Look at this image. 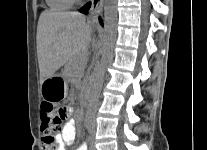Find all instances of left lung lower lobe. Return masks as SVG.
I'll return each mask as SVG.
<instances>
[{"instance_id": "0a47b994", "label": "left lung lower lobe", "mask_w": 207, "mask_h": 150, "mask_svg": "<svg viewBox=\"0 0 207 150\" xmlns=\"http://www.w3.org/2000/svg\"><path fill=\"white\" fill-rule=\"evenodd\" d=\"M91 3L86 4L82 8L79 9L80 12L86 13L90 9Z\"/></svg>"}]
</instances>
